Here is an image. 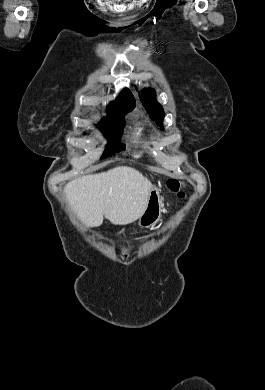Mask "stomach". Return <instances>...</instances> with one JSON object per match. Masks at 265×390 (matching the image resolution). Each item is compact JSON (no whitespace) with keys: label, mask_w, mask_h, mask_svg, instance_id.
Returning <instances> with one entry per match:
<instances>
[{"label":"stomach","mask_w":265,"mask_h":390,"mask_svg":"<svg viewBox=\"0 0 265 390\" xmlns=\"http://www.w3.org/2000/svg\"><path fill=\"white\" fill-rule=\"evenodd\" d=\"M161 212L162 199L160 196V189L153 186L149 194L147 206L139 218V226L142 228L154 226L159 221Z\"/></svg>","instance_id":"obj_1"}]
</instances>
